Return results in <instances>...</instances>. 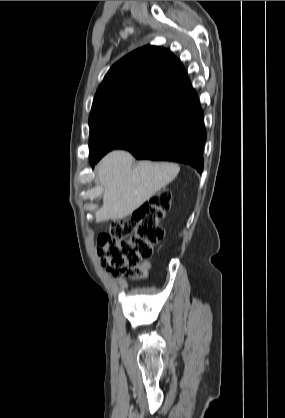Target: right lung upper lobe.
I'll use <instances>...</instances> for the list:
<instances>
[{
  "label": "right lung upper lobe",
  "mask_w": 285,
  "mask_h": 418,
  "mask_svg": "<svg viewBox=\"0 0 285 418\" xmlns=\"http://www.w3.org/2000/svg\"><path fill=\"white\" fill-rule=\"evenodd\" d=\"M196 96L180 60L165 48L148 45L110 68L97 89L91 113L124 101L173 109Z\"/></svg>",
  "instance_id": "1"
}]
</instances>
